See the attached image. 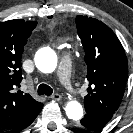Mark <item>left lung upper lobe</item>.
Returning <instances> with one entry per match:
<instances>
[{
	"label": "left lung upper lobe",
	"instance_id": "obj_1",
	"mask_svg": "<svg viewBox=\"0 0 133 133\" xmlns=\"http://www.w3.org/2000/svg\"><path fill=\"white\" fill-rule=\"evenodd\" d=\"M76 26L84 46L89 81L84 106L114 114L121 103L128 76L122 44L114 32L97 19L78 15Z\"/></svg>",
	"mask_w": 133,
	"mask_h": 133
}]
</instances>
